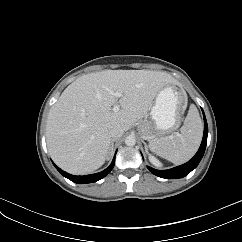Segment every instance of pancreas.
Instances as JSON below:
<instances>
[{"instance_id":"pancreas-1","label":"pancreas","mask_w":242,"mask_h":242,"mask_svg":"<svg viewBox=\"0 0 242 242\" xmlns=\"http://www.w3.org/2000/svg\"><path fill=\"white\" fill-rule=\"evenodd\" d=\"M151 128V124L148 122H143L139 125V130L143 132H148Z\"/></svg>"}]
</instances>
